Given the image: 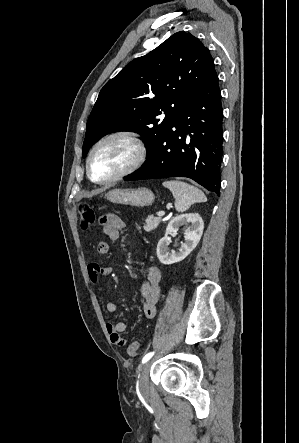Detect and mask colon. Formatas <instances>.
<instances>
[{"mask_svg": "<svg viewBox=\"0 0 299 443\" xmlns=\"http://www.w3.org/2000/svg\"><path fill=\"white\" fill-rule=\"evenodd\" d=\"M78 214L80 217V227L84 230L89 229L96 223V214L92 206L87 202H80L78 204ZM139 341L134 340L127 349L130 357L135 358L139 355Z\"/></svg>", "mask_w": 299, "mask_h": 443, "instance_id": "colon-1", "label": "colon"}]
</instances>
